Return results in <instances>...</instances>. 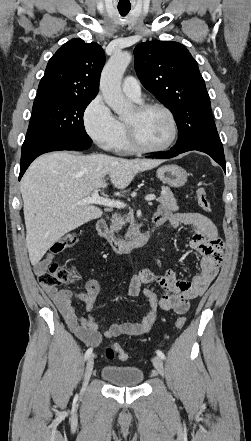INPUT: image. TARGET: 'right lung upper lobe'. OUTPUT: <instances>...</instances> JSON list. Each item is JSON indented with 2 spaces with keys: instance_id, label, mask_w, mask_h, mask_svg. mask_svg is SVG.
Instances as JSON below:
<instances>
[{
  "instance_id": "right-lung-upper-lobe-1",
  "label": "right lung upper lobe",
  "mask_w": 251,
  "mask_h": 441,
  "mask_svg": "<svg viewBox=\"0 0 251 441\" xmlns=\"http://www.w3.org/2000/svg\"><path fill=\"white\" fill-rule=\"evenodd\" d=\"M104 64L105 54L97 43L68 41L49 60L34 101L95 97Z\"/></svg>"
}]
</instances>
